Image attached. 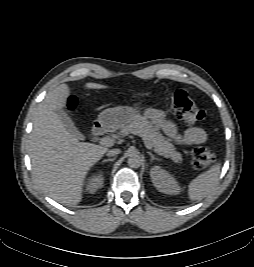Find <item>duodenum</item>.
Returning a JSON list of instances; mask_svg holds the SVG:
<instances>
[{"mask_svg": "<svg viewBox=\"0 0 254 267\" xmlns=\"http://www.w3.org/2000/svg\"><path fill=\"white\" fill-rule=\"evenodd\" d=\"M104 132H105V126L100 122L95 123L91 131L93 136H100L104 134Z\"/></svg>", "mask_w": 254, "mask_h": 267, "instance_id": "duodenum-1", "label": "duodenum"}]
</instances>
